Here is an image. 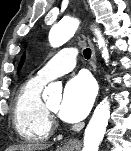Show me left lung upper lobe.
I'll return each instance as SVG.
<instances>
[{"instance_id": "left-lung-upper-lobe-1", "label": "left lung upper lobe", "mask_w": 131, "mask_h": 151, "mask_svg": "<svg viewBox=\"0 0 131 151\" xmlns=\"http://www.w3.org/2000/svg\"><path fill=\"white\" fill-rule=\"evenodd\" d=\"M24 58H25V55H23L22 58H21V61H20L18 70L21 68V66H22V64H23V62H24Z\"/></svg>"}]
</instances>
